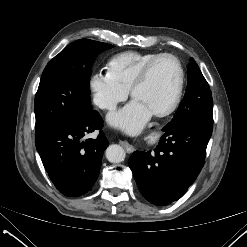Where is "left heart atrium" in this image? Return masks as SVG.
Instances as JSON below:
<instances>
[{
    "label": "left heart atrium",
    "instance_id": "1",
    "mask_svg": "<svg viewBox=\"0 0 247 247\" xmlns=\"http://www.w3.org/2000/svg\"><path fill=\"white\" fill-rule=\"evenodd\" d=\"M151 115L152 111L134 99L119 111L109 114L108 122L115 128L137 132Z\"/></svg>",
    "mask_w": 247,
    "mask_h": 247
}]
</instances>
